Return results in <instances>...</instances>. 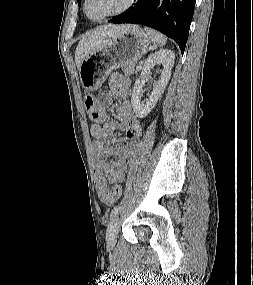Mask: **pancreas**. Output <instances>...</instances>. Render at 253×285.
I'll list each match as a JSON object with an SVG mask.
<instances>
[{
    "label": "pancreas",
    "instance_id": "cf45deb5",
    "mask_svg": "<svg viewBox=\"0 0 253 285\" xmlns=\"http://www.w3.org/2000/svg\"><path fill=\"white\" fill-rule=\"evenodd\" d=\"M123 72H124L125 75L134 74V72H135V64L133 63V64H130L128 66H125L123 68Z\"/></svg>",
    "mask_w": 253,
    "mask_h": 285
}]
</instances>
